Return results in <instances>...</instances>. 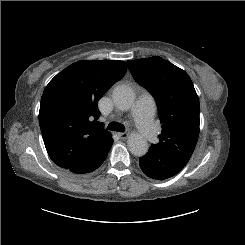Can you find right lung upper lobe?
I'll use <instances>...</instances> for the list:
<instances>
[{
  "mask_svg": "<svg viewBox=\"0 0 245 245\" xmlns=\"http://www.w3.org/2000/svg\"><path fill=\"white\" fill-rule=\"evenodd\" d=\"M126 70L123 61L82 60L49 82L41 98L39 123L55 164L64 169L78 165L111 135L97 122V102Z\"/></svg>",
  "mask_w": 245,
  "mask_h": 245,
  "instance_id": "cb5924a9",
  "label": "right lung upper lobe"
}]
</instances>
